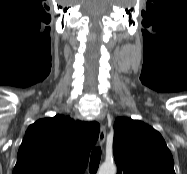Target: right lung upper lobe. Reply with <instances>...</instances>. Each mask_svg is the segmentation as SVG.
I'll list each match as a JSON object with an SVG mask.
<instances>
[{
  "instance_id": "cb5924a9",
  "label": "right lung upper lobe",
  "mask_w": 187,
  "mask_h": 174,
  "mask_svg": "<svg viewBox=\"0 0 187 174\" xmlns=\"http://www.w3.org/2000/svg\"><path fill=\"white\" fill-rule=\"evenodd\" d=\"M99 128L64 115L38 120L25 133L12 174H83Z\"/></svg>"
}]
</instances>
